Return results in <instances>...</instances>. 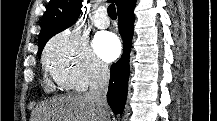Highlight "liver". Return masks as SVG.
<instances>
[{"instance_id":"liver-1","label":"liver","mask_w":217,"mask_h":121,"mask_svg":"<svg viewBox=\"0 0 217 121\" xmlns=\"http://www.w3.org/2000/svg\"><path fill=\"white\" fill-rule=\"evenodd\" d=\"M35 121H109L108 108L107 120H103L99 106L86 94L67 95L52 100L49 104L37 107Z\"/></svg>"}]
</instances>
